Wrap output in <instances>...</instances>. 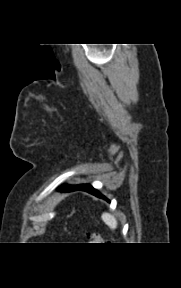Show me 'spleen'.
Wrapping results in <instances>:
<instances>
[{
    "mask_svg": "<svg viewBox=\"0 0 181 288\" xmlns=\"http://www.w3.org/2000/svg\"><path fill=\"white\" fill-rule=\"evenodd\" d=\"M101 218L104 221V223L108 225L111 229L114 230L117 228L118 222L112 214L105 212L102 214Z\"/></svg>",
    "mask_w": 181,
    "mask_h": 288,
    "instance_id": "1",
    "label": "spleen"
}]
</instances>
